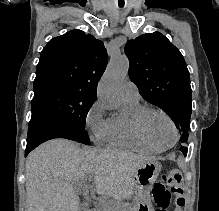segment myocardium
<instances>
[{"label": "myocardium", "mask_w": 219, "mask_h": 211, "mask_svg": "<svg viewBox=\"0 0 219 211\" xmlns=\"http://www.w3.org/2000/svg\"><path fill=\"white\" fill-rule=\"evenodd\" d=\"M154 114L162 115L163 117H165V118L169 121V123H170L171 126H172L175 139H174L173 144H171V145L168 146V147H165V148L159 147V146L152 140V138L150 137V135H149V133H148V130H147V121H148L149 117H150L151 115H154ZM134 122H135V127H136V130H137L139 136H140L147 144H149L150 146L154 147L155 149H157V150H159V151H165V150L171 149V148H173V147L177 144V142H178L179 134H178L177 126H176L174 120L171 118V116H170L168 113H166L165 111H163V110H161V109L151 108V107H143V108H141V109L138 111V113L136 114L135 119H134Z\"/></svg>", "instance_id": "obj_1"}]
</instances>
